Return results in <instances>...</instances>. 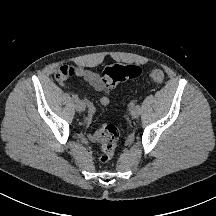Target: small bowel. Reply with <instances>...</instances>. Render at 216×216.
<instances>
[{
  "label": "small bowel",
  "instance_id": "c3829d8e",
  "mask_svg": "<svg viewBox=\"0 0 216 216\" xmlns=\"http://www.w3.org/2000/svg\"><path fill=\"white\" fill-rule=\"evenodd\" d=\"M75 69V75L83 79L85 82L90 84L96 91L100 92L101 95L99 97V103L103 106H107L110 103V99L107 95L108 90L104 87L102 79L99 75V73L86 69L84 67H77ZM85 103L88 107V114L85 119V123L87 126H91L93 121V116L95 113V106L94 104L88 100L85 99ZM96 138V132H93L90 134V139L95 140Z\"/></svg>",
  "mask_w": 216,
  "mask_h": 216
}]
</instances>
